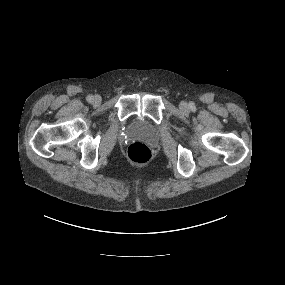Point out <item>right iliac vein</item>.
<instances>
[{"instance_id":"63e3f726","label":"right iliac vein","mask_w":285,"mask_h":285,"mask_svg":"<svg viewBox=\"0 0 285 285\" xmlns=\"http://www.w3.org/2000/svg\"><path fill=\"white\" fill-rule=\"evenodd\" d=\"M93 102L95 105H99L101 103V97L100 96H95L93 99Z\"/></svg>"}]
</instances>
